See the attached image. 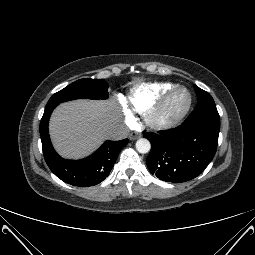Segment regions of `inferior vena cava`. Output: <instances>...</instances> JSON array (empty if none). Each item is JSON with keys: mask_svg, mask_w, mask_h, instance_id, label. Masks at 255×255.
I'll use <instances>...</instances> for the list:
<instances>
[{"mask_svg": "<svg viewBox=\"0 0 255 255\" xmlns=\"http://www.w3.org/2000/svg\"><path fill=\"white\" fill-rule=\"evenodd\" d=\"M129 134V129L124 126H116L115 128L111 129L107 136L109 139L112 140H122L126 138Z\"/></svg>", "mask_w": 255, "mask_h": 255, "instance_id": "inferior-vena-cava-1", "label": "inferior vena cava"}]
</instances>
